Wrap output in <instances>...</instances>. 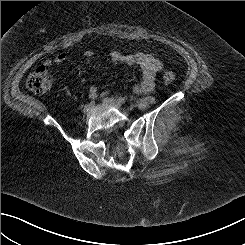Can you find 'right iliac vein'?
Wrapping results in <instances>:
<instances>
[{"label": "right iliac vein", "mask_w": 245, "mask_h": 245, "mask_svg": "<svg viewBox=\"0 0 245 245\" xmlns=\"http://www.w3.org/2000/svg\"><path fill=\"white\" fill-rule=\"evenodd\" d=\"M91 108H92V107H91L90 104L85 105L84 108H83V113H84L85 115L89 114V112L91 111Z\"/></svg>", "instance_id": "right-iliac-vein-1"}]
</instances>
